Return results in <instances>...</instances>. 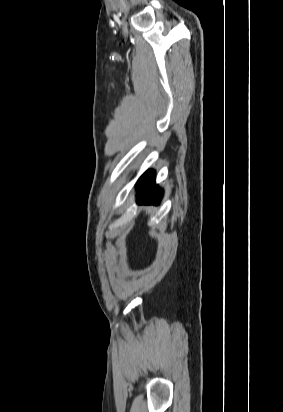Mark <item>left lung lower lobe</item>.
Listing matches in <instances>:
<instances>
[{"label":"left lung lower lobe","instance_id":"1","mask_svg":"<svg viewBox=\"0 0 283 412\" xmlns=\"http://www.w3.org/2000/svg\"><path fill=\"white\" fill-rule=\"evenodd\" d=\"M154 171H146L137 182V203L159 204L163 191L154 180Z\"/></svg>","mask_w":283,"mask_h":412}]
</instances>
